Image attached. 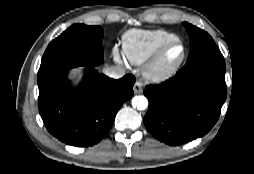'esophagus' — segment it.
Returning <instances> with one entry per match:
<instances>
[{
    "mask_svg": "<svg viewBox=\"0 0 254 174\" xmlns=\"http://www.w3.org/2000/svg\"><path fill=\"white\" fill-rule=\"evenodd\" d=\"M133 91L135 94H139L143 91L142 82L140 80L135 82L133 86Z\"/></svg>",
    "mask_w": 254,
    "mask_h": 174,
    "instance_id": "obj_1",
    "label": "esophagus"
}]
</instances>
